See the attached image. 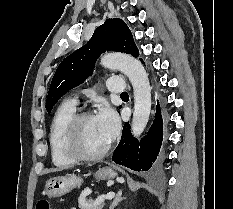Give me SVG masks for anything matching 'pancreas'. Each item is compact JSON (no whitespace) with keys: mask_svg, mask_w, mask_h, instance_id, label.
<instances>
[{"mask_svg":"<svg viewBox=\"0 0 233 209\" xmlns=\"http://www.w3.org/2000/svg\"><path fill=\"white\" fill-rule=\"evenodd\" d=\"M86 192L87 190H84L79 197L78 206L80 209H102L104 207V197H98L96 199H86Z\"/></svg>","mask_w":233,"mask_h":209,"instance_id":"1","label":"pancreas"}]
</instances>
